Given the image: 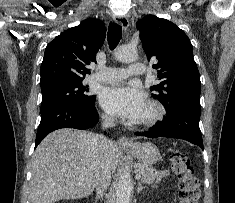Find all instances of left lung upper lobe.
<instances>
[{
    "label": "left lung upper lobe",
    "mask_w": 235,
    "mask_h": 203,
    "mask_svg": "<svg viewBox=\"0 0 235 203\" xmlns=\"http://www.w3.org/2000/svg\"><path fill=\"white\" fill-rule=\"evenodd\" d=\"M142 47L148 59H156L158 85L152 94L170 112L182 104L200 106V75L193 58L192 44L174 23L147 15L137 22Z\"/></svg>",
    "instance_id": "left-lung-upper-lobe-1"
}]
</instances>
